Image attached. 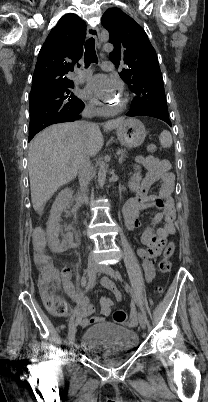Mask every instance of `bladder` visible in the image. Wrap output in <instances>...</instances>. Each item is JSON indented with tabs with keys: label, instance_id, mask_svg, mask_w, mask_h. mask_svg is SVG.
<instances>
[{
	"label": "bladder",
	"instance_id": "1",
	"mask_svg": "<svg viewBox=\"0 0 208 402\" xmlns=\"http://www.w3.org/2000/svg\"><path fill=\"white\" fill-rule=\"evenodd\" d=\"M138 342L134 330L113 323H97L84 330L81 348L89 349L97 363L115 366L136 350Z\"/></svg>",
	"mask_w": 208,
	"mask_h": 402
}]
</instances>
